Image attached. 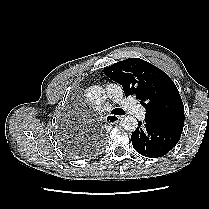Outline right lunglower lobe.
Masks as SVG:
<instances>
[{
    "instance_id": "right-lung-lower-lobe-1",
    "label": "right lung lower lobe",
    "mask_w": 209,
    "mask_h": 209,
    "mask_svg": "<svg viewBox=\"0 0 209 209\" xmlns=\"http://www.w3.org/2000/svg\"><path fill=\"white\" fill-rule=\"evenodd\" d=\"M102 140H103V138H102V136L100 134H96L95 135L94 141H96L98 145H101ZM83 150L86 151V152H91L92 150H94V145L93 146H89V145L85 146L83 148Z\"/></svg>"
}]
</instances>
